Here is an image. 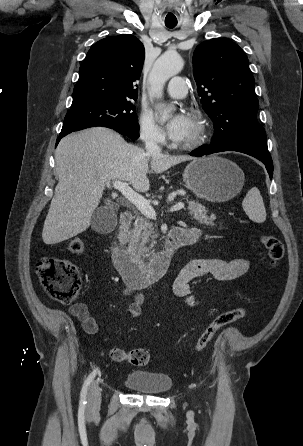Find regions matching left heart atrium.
<instances>
[{
	"label": "left heart atrium",
	"instance_id": "1",
	"mask_svg": "<svg viewBox=\"0 0 303 446\" xmlns=\"http://www.w3.org/2000/svg\"><path fill=\"white\" fill-rule=\"evenodd\" d=\"M189 118L183 113H177L169 117L166 123V132L170 139L181 141L188 129Z\"/></svg>",
	"mask_w": 303,
	"mask_h": 446
}]
</instances>
